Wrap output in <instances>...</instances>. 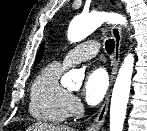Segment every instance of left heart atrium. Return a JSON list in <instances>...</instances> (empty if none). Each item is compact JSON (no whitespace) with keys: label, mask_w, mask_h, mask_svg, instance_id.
Masks as SVG:
<instances>
[{"label":"left heart atrium","mask_w":147,"mask_h":131,"mask_svg":"<svg viewBox=\"0 0 147 131\" xmlns=\"http://www.w3.org/2000/svg\"><path fill=\"white\" fill-rule=\"evenodd\" d=\"M108 88V77L102 68H93L85 78L83 86V95L86 102L91 105H97L103 99Z\"/></svg>","instance_id":"obj_1"}]
</instances>
